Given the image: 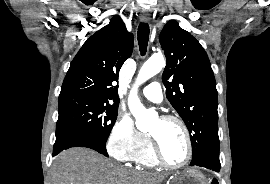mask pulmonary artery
<instances>
[{"label": "pulmonary artery", "mask_w": 270, "mask_h": 184, "mask_svg": "<svg viewBox=\"0 0 270 184\" xmlns=\"http://www.w3.org/2000/svg\"><path fill=\"white\" fill-rule=\"evenodd\" d=\"M142 94L154 103H160L163 99L161 86L158 82H152L142 89Z\"/></svg>", "instance_id": "e3ab8cb5"}]
</instances>
